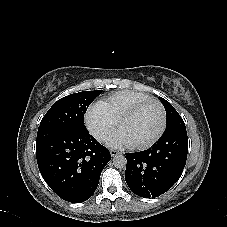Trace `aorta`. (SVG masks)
<instances>
[{"label":"aorta","instance_id":"obj_1","mask_svg":"<svg viewBox=\"0 0 227 227\" xmlns=\"http://www.w3.org/2000/svg\"><path fill=\"white\" fill-rule=\"evenodd\" d=\"M127 159L124 155L118 154L113 158V165L118 169H123L126 167Z\"/></svg>","mask_w":227,"mask_h":227}]
</instances>
